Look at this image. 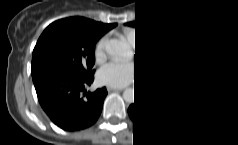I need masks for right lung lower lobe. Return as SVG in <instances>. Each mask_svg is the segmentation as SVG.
<instances>
[{
  "instance_id": "98d812e1",
  "label": "right lung lower lobe",
  "mask_w": 238,
  "mask_h": 145,
  "mask_svg": "<svg viewBox=\"0 0 238 145\" xmlns=\"http://www.w3.org/2000/svg\"><path fill=\"white\" fill-rule=\"evenodd\" d=\"M39 103L51 121L65 131H79L99 118L106 88L87 92L94 72L80 74L63 66L47 65L31 69ZM86 95V96H83Z\"/></svg>"
}]
</instances>
